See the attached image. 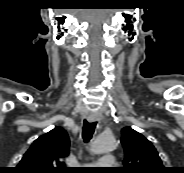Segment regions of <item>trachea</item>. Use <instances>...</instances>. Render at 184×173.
Listing matches in <instances>:
<instances>
[{
	"label": "trachea",
	"mask_w": 184,
	"mask_h": 173,
	"mask_svg": "<svg viewBox=\"0 0 184 173\" xmlns=\"http://www.w3.org/2000/svg\"><path fill=\"white\" fill-rule=\"evenodd\" d=\"M96 124V122H87L86 120H84L82 132L84 142H88L92 138V135L96 128Z\"/></svg>",
	"instance_id": "trachea-1"
}]
</instances>
